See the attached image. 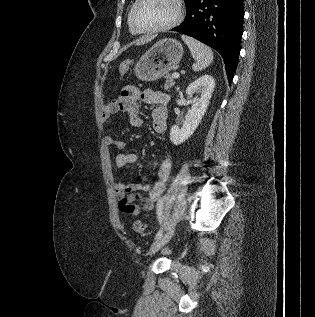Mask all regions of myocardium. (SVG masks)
I'll list each match as a JSON object with an SVG mask.
<instances>
[{
  "instance_id": "f54148a6",
  "label": "myocardium",
  "mask_w": 315,
  "mask_h": 317,
  "mask_svg": "<svg viewBox=\"0 0 315 317\" xmlns=\"http://www.w3.org/2000/svg\"><path fill=\"white\" fill-rule=\"evenodd\" d=\"M142 2V0H135L131 11H130V24L133 27V29L138 33H156V32H162L169 29H172L173 27L177 26L183 19V5L181 0H173V3L175 5V16L171 21L168 23L158 26V27H152V28H140L137 26L135 22V11L137 6Z\"/></svg>"
}]
</instances>
